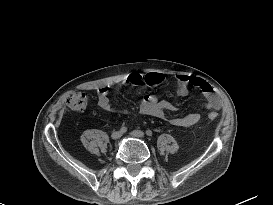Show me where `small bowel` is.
I'll list each match as a JSON object with an SVG mask.
<instances>
[{"label": "small bowel", "mask_w": 273, "mask_h": 205, "mask_svg": "<svg viewBox=\"0 0 273 205\" xmlns=\"http://www.w3.org/2000/svg\"><path fill=\"white\" fill-rule=\"evenodd\" d=\"M165 80V76L159 73H140L134 72L120 80L122 85H140L156 86ZM172 80L177 83L176 93L178 96H186L188 93L186 84L190 83L198 88L205 97V107L218 110L221 107V100L214 88L205 80L188 75H175ZM107 86H102L98 90V105L101 109L108 112H116L108 97ZM175 106L169 101H159L154 95L146 93L140 105V112L144 115L165 118V112L174 111ZM200 119L198 113H188L182 117L173 118L171 124L177 127H190L196 124Z\"/></svg>", "instance_id": "c3829d8e"}]
</instances>
